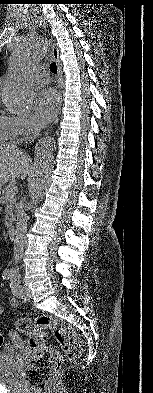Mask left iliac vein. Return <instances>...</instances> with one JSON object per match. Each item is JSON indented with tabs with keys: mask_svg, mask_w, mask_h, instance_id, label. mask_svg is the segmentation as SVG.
<instances>
[{
	"mask_svg": "<svg viewBox=\"0 0 153 393\" xmlns=\"http://www.w3.org/2000/svg\"><path fill=\"white\" fill-rule=\"evenodd\" d=\"M29 295L30 294H29V290H28L27 286L26 285H22V286H20L18 294L16 296H18V297H20L22 299H26V298L29 297Z\"/></svg>",
	"mask_w": 153,
	"mask_h": 393,
	"instance_id": "4c4485c4",
	"label": "left iliac vein"
}]
</instances>
